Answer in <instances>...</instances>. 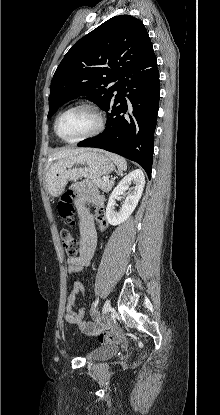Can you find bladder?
<instances>
[{
    "label": "bladder",
    "instance_id": "bladder-1",
    "mask_svg": "<svg viewBox=\"0 0 220 415\" xmlns=\"http://www.w3.org/2000/svg\"><path fill=\"white\" fill-rule=\"evenodd\" d=\"M118 350H119V346L113 345V344L105 346V347H100L91 352L90 358L98 359V360L105 359L116 354Z\"/></svg>",
    "mask_w": 220,
    "mask_h": 415
}]
</instances>
